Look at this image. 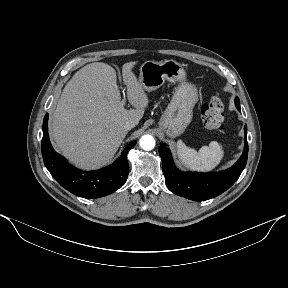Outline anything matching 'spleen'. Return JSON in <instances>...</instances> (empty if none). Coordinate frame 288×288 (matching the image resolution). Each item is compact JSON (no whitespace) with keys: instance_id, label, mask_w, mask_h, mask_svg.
I'll return each instance as SVG.
<instances>
[{"instance_id":"obj_1","label":"spleen","mask_w":288,"mask_h":288,"mask_svg":"<svg viewBox=\"0 0 288 288\" xmlns=\"http://www.w3.org/2000/svg\"><path fill=\"white\" fill-rule=\"evenodd\" d=\"M176 152L179 161L185 167L196 171H211L224 157L222 145L216 141H212L209 146H202L199 151H196L179 140L176 144Z\"/></svg>"}]
</instances>
